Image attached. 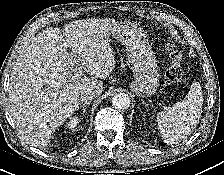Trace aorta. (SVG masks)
Wrapping results in <instances>:
<instances>
[{
    "label": "aorta",
    "mask_w": 224,
    "mask_h": 175,
    "mask_svg": "<svg viewBox=\"0 0 224 175\" xmlns=\"http://www.w3.org/2000/svg\"><path fill=\"white\" fill-rule=\"evenodd\" d=\"M112 105L116 109H127L130 105V98L125 93H117L112 98Z\"/></svg>",
    "instance_id": "762f6f07"
}]
</instances>
